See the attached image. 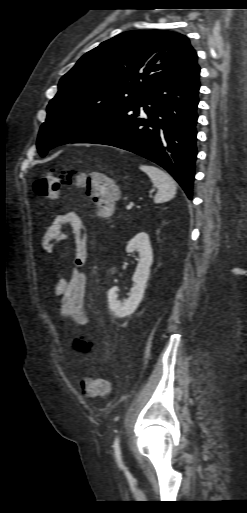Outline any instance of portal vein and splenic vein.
I'll return each mask as SVG.
<instances>
[{"label":"portal vein and splenic vein","instance_id":"1","mask_svg":"<svg viewBox=\"0 0 247 513\" xmlns=\"http://www.w3.org/2000/svg\"><path fill=\"white\" fill-rule=\"evenodd\" d=\"M131 209H132V205H127V206H126V210H128V211H129V210H131Z\"/></svg>","mask_w":247,"mask_h":513}]
</instances>
